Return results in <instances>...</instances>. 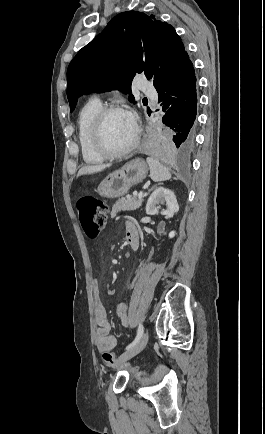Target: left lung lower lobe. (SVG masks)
Here are the masks:
<instances>
[{
    "label": "left lung lower lobe",
    "instance_id": "obj_1",
    "mask_svg": "<svg viewBox=\"0 0 265 434\" xmlns=\"http://www.w3.org/2000/svg\"><path fill=\"white\" fill-rule=\"evenodd\" d=\"M157 92L168 135L153 140L150 148L161 155L186 154L195 144L197 111L196 76L188 54Z\"/></svg>",
    "mask_w": 265,
    "mask_h": 434
}]
</instances>
